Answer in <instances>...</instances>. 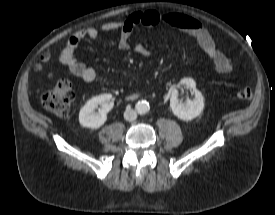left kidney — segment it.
Here are the masks:
<instances>
[{
  "label": "left kidney",
  "mask_w": 275,
  "mask_h": 215,
  "mask_svg": "<svg viewBox=\"0 0 275 215\" xmlns=\"http://www.w3.org/2000/svg\"><path fill=\"white\" fill-rule=\"evenodd\" d=\"M180 84L193 89L195 98L186 102L178 99L177 90L171 92L170 108L175 116L181 120L188 121L196 118L204 108V98L199 90L196 89V83L192 78H183Z\"/></svg>",
  "instance_id": "left-kidney-1"
}]
</instances>
